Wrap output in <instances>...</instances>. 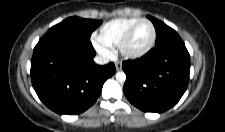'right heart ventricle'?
Instances as JSON below:
<instances>
[{
	"mask_svg": "<svg viewBox=\"0 0 225 132\" xmlns=\"http://www.w3.org/2000/svg\"><path fill=\"white\" fill-rule=\"evenodd\" d=\"M137 20V18H118L105 23L98 32V42L106 47L118 46L127 29Z\"/></svg>",
	"mask_w": 225,
	"mask_h": 132,
	"instance_id": "1",
	"label": "right heart ventricle"
}]
</instances>
